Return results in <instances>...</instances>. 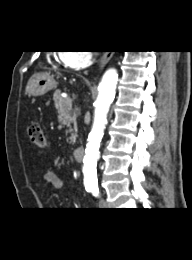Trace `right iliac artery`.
Wrapping results in <instances>:
<instances>
[{
	"instance_id": "right-iliac-artery-1",
	"label": "right iliac artery",
	"mask_w": 192,
	"mask_h": 260,
	"mask_svg": "<svg viewBox=\"0 0 192 260\" xmlns=\"http://www.w3.org/2000/svg\"><path fill=\"white\" fill-rule=\"evenodd\" d=\"M87 191H91V189H90V188H87Z\"/></svg>"
}]
</instances>
